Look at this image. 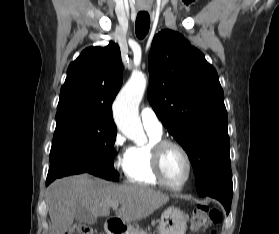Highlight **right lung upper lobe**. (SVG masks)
<instances>
[{
	"label": "right lung upper lobe",
	"instance_id": "cb5924a9",
	"mask_svg": "<svg viewBox=\"0 0 279 234\" xmlns=\"http://www.w3.org/2000/svg\"><path fill=\"white\" fill-rule=\"evenodd\" d=\"M121 84L119 46L86 48L68 67L56 115L80 113L115 126L111 106Z\"/></svg>",
	"mask_w": 279,
	"mask_h": 234
}]
</instances>
